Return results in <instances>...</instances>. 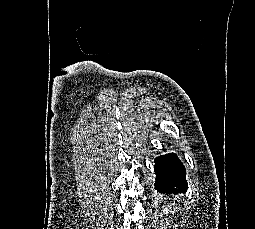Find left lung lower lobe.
Instances as JSON below:
<instances>
[{
	"instance_id": "obj_1",
	"label": "left lung lower lobe",
	"mask_w": 255,
	"mask_h": 229,
	"mask_svg": "<svg viewBox=\"0 0 255 229\" xmlns=\"http://www.w3.org/2000/svg\"><path fill=\"white\" fill-rule=\"evenodd\" d=\"M155 189L159 192L186 191L188 184L185 168L174 153L162 155L155 159Z\"/></svg>"
}]
</instances>
